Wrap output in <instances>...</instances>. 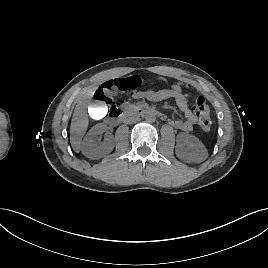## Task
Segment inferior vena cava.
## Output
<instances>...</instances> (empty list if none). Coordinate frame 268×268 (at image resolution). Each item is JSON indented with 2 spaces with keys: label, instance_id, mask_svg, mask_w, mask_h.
<instances>
[{
  "label": "inferior vena cava",
  "instance_id": "602c4592",
  "mask_svg": "<svg viewBox=\"0 0 268 268\" xmlns=\"http://www.w3.org/2000/svg\"><path fill=\"white\" fill-rule=\"evenodd\" d=\"M139 120V115L135 112H128L123 117V122L126 124H132Z\"/></svg>",
  "mask_w": 268,
  "mask_h": 268
}]
</instances>
